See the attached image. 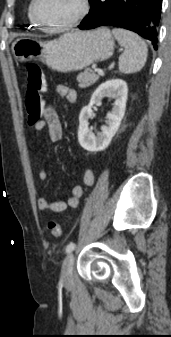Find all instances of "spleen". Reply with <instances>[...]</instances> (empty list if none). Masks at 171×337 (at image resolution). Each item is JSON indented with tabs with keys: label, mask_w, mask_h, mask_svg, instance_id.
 Here are the masks:
<instances>
[{
	"label": "spleen",
	"mask_w": 171,
	"mask_h": 337,
	"mask_svg": "<svg viewBox=\"0 0 171 337\" xmlns=\"http://www.w3.org/2000/svg\"><path fill=\"white\" fill-rule=\"evenodd\" d=\"M112 33L124 52L119 57V71L131 74L140 71L148 56V48L145 41L137 34L120 28H115Z\"/></svg>",
	"instance_id": "1"
}]
</instances>
